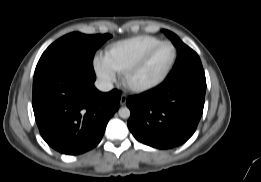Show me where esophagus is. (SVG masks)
<instances>
[{
  "mask_svg": "<svg viewBox=\"0 0 261 182\" xmlns=\"http://www.w3.org/2000/svg\"><path fill=\"white\" fill-rule=\"evenodd\" d=\"M126 101H127V95L122 94L120 98V105L124 106L126 104Z\"/></svg>",
  "mask_w": 261,
  "mask_h": 182,
  "instance_id": "esophagus-1",
  "label": "esophagus"
}]
</instances>
